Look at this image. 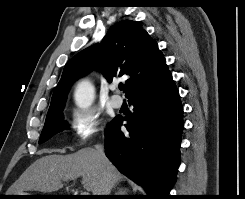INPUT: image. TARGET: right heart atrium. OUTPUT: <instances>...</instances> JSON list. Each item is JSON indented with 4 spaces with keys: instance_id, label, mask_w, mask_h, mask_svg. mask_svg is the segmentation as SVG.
<instances>
[{
    "instance_id": "d8ad5b80",
    "label": "right heart atrium",
    "mask_w": 245,
    "mask_h": 199,
    "mask_svg": "<svg viewBox=\"0 0 245 199\" xmlns=\"http://www.w3.org/2000/svg\"><path fill=\"white\" fill-rule=\"evenodd\" d=\"M70 126L75 138L84 143L101 129V117L94 109H76L70 117Z\"/></svg>"
}]
</instances>
